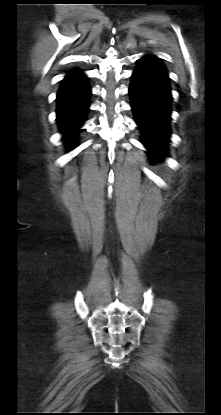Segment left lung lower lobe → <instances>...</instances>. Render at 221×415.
I'll use <instances>...</instances> for the list:
<instances>
[{"instance_id":"1","label":"left lung lower lobe","mask_w":221,"mask_h":415,"mask_svg":"<svg viewBox=\"0 0 221 415\" xmlns=\"http://www.w3.org/2000/svg\"><path fill=\"white\" fill-rule=\"evenodd\" d=\"M129 95L141 143L150 159H163L168 156L172 95L167 70L159 58L146 55L137 61Z\"/></svg>"}]
</instances>
